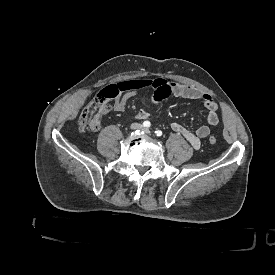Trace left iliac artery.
Segmentation results:
<instances>
[{"instance_id":"1","label":"left iliac artery","mask_w":275,"mask_h":275,"mask_svg":"<svg viewBox=\"0 0 275 275\" xmlns=\"http://www.w3.org/2000/svg\"><path fill=\"white\" fill-rule=\"evenodd\" d=\"M155 134H156V136H162V131L161 130H156L155 131Z\"/></svg>"}]
</instances>
